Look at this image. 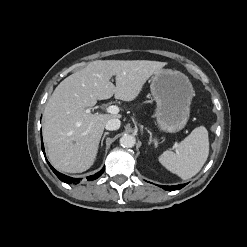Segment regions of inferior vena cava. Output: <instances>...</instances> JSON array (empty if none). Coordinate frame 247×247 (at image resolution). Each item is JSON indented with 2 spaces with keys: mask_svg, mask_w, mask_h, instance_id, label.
<instances>
[{
  "mask_svg": "<svg viewBox=\"0 0 247 247\" xmlns=\"http://www.w3.org/2000/svg\"><path fill=\"white\" fill-rule=\"evenodd\" d=\"M120 125H121V122L118 118H112L108 120V122L105 125V128L107 130L113 131V130L119 129Z\"/></svg>",
  "mask_w": 247,
  "mask_h": 247,
  "instance_id": "inferior-vena-cava-1",
  "label": "inferior vena cava"
}]
</instances>
